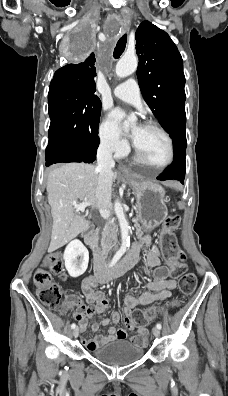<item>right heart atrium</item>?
<instances>
[{
  "label": "right heart atrium",
  "mask_w": 228,
  "mask_h": 396,
  "mask_svg": "<svg viewBox=\"0 0 228 396\" xmlns=\"http://www.w3.org/2000/svg\"><path fill=\"white\" fill-rule=\"evenodd\" d=\"M98 139L101 147L116 157L124 156L128 150V143L121 139L107 120H102L98 127Z\"/></svg>",
  "instance_id": "1"
}]
</instances>
